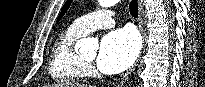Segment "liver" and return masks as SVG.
Returning <instances> with one entry per match:
<instances>
[{
	"mask_svg": "<svg viewBox=\"0 0 205 87\" xmlns=\"http://www.w3.org/2000/svg\"><path fill=\"white\" fill-rule=\"evenodd\" d=\"M51 87H89V86L81 85V84H74L71 82H65V83L53 84Z\"/></svg>",
	"mask_w": 205,
	"mask_h": 87,
	"instance_id": "1",
	"label": "liver"
}]
</instances>
